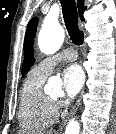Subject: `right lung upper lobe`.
Instances as JSON below:
<instances>
[{"mask_svg": "<svg viewBox=\"0 0 116 134\" xmlns=\"http://www.w3.org/2000/svg\"><path fill=\"white\" fill-rule=\"evenodd\" d=\"M85 6H84V0H78V11H79V16L81 20H84L83 18V13L85 10Z\"/></svg>", "mask_w": 116, "mask_h": 134, "instance_id": "1", "label": "right lung upper lobe"}]
</instances>
